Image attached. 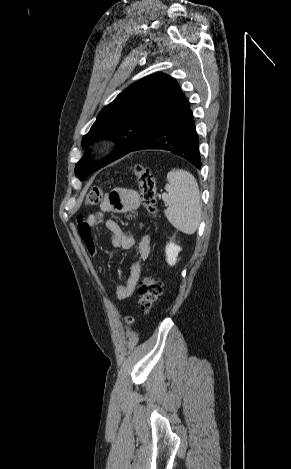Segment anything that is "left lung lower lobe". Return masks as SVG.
I'll use <instances>...</instances> for the list:
<instances>
[{"label": "left lung lower lobe", "mask_w": 291, "mask_h": 469, "mask_svg": "<svg viewBox=\"0 0 291 469\" xmlns=\"http://www.w3.org/2000/svg\"><path fill=\"white\" fill-rule=\"evenodd\" d=\"M142 149L167 150L201 168L199 139L186 98L129 152Z\"/></svg>", "instance_id": "left-lung-lower-lobe-1"}]
</instances>
